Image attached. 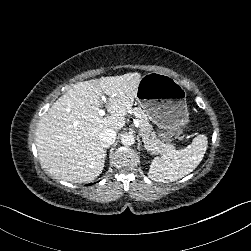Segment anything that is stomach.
I'll return each instance as SVG.
<instances>
[{"label":"stomach","mask_w":251,"mask_h":251,"mask_svg":"<svg viewBox=\"0 0 251 251\" xmlns=\"http://www.w3.org/2000/svg\"><path fill=\"white\" fill-rule=\"evenodd\" d=\"M135 99L159 128L171 131L183 126L188 119L186 91L168 74L151 72L143 75Z\"/></svg>","instance_id":"obj_1"}]
</instances>
